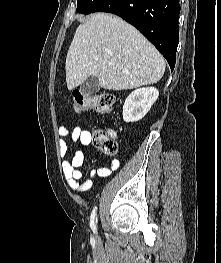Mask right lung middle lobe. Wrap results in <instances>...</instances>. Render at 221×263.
I'll list each match as a JSON object with an SVG mask.
<instances>
[{
	"label": "right lung middle lobe",
	"mask_w": 221,
	"mask_h": 263,
	"mask_svg": "<svg viewBox=\"0 0 221 263\" xmlns=\"http://www.w3.org/2000/svg\"><path fill=\"white\" fill-rule=\"evenodd\" d=\"M105 0H77V12L82 14L93 13V11Z\"/></svg>",
	"instance_id": "right-lung-middle-lobe-1"
}]
</instances>
